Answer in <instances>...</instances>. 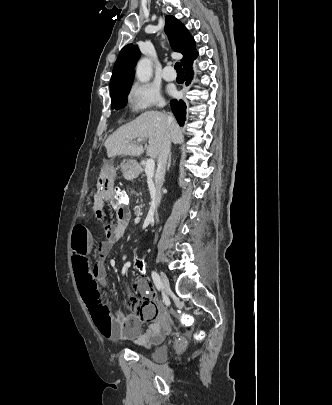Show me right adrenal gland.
Masks as SVG:
<instances>
[{
	"label": "right adrenal gland",
	"instance_id": "obj_1",
	"mask_svg": "<svg viewBox=\"0 0 332 405\" xmlns=\"http://www.w3.org/2000/svg\"><path fill=\"white\" fill-rule=\"evenodd\" d=\"M170 166H171V152L169 153V157H168L167 171L170 170Z\"/></svg>",
	"mask_w": 332,
	"mask_h": 405
}]
</instances>
